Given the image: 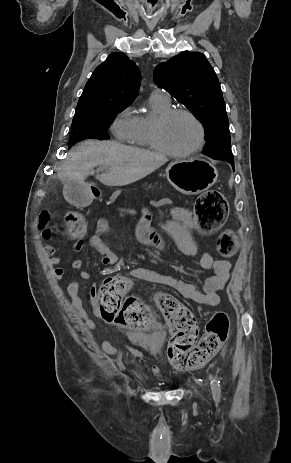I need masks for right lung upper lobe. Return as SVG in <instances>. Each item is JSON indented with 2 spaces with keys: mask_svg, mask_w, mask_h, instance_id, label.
I'll list each match as a JSON object with an SVG mask.
<instances>
[{
  "mask_svg": "<svg viewBox=\"0 0 291 463\" xmlns=\"http://www.w3.org/2000/svg\"><path fill=\"white\" fill-rule=\"evenodd\" d=\"M140 82V71L135 63L123 53H111L86 83L75 115L94 111L106 102L132 103Z\"/></svg>",
  "mask_w": 291,
  "mask_h": 463,
  "instance_id": "right-lung-upper-lobe-1",
  "label": "right lung upper lobe"
}]
</instances>
